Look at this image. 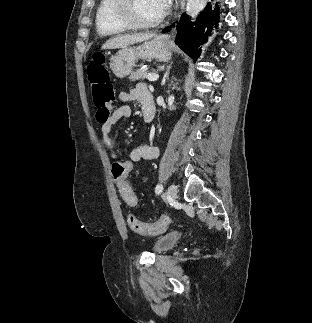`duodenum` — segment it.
I'll use <instances>...</instances> for the list:
<instances>
[{
	"label": "duodenum",
	"instance_id": "1",
	"mask_svg": "<svg viewBox=\"0 0 312 323\" xmlns=\"http://www.w3.org/2000/svg\"><path fill=\"white\" fill-rule=\"evenodd\" d=\"M155 117V104L150 91H147L142 100V121L151 123Z\"/></svg>",
	"mask_w": 312,
	"mask_h": 323
}]
</instances>
